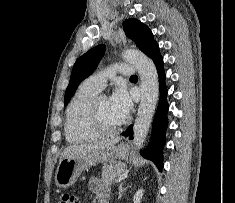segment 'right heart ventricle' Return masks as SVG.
<instances>
[{
    "instance_id": "1",
    "label": "right heart ventricle",
    "mask_w": 235,
    "mask_h": 203,
    "mask_svg": "<svg viewBox=\"0 0 235 203\" xmlns=\"http://www.w3.org/2000/svg\"><path fill=\"white\" fill-rule=\"evenodd\" d=\"M98 93L97 89L84 82L71 99L65 118V137L69 143H86L100 137L89 122L90 105Z\"/></svg>"
}]
</instances>
